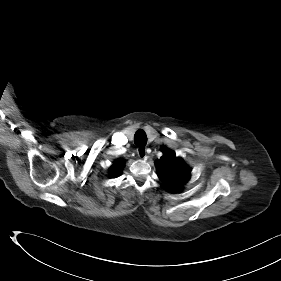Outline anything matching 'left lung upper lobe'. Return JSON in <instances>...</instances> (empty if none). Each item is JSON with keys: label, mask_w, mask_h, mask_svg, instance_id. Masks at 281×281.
<instances>
[{"label": "left lung upper lobe", "mask_w": 281, "mask_h": 281, "mask_svg": "<svg viewBox=\"0 0 281 281\" xmlns=\"http://www.w3.org/2000/svg\"><path fill=\"white\" fill-rule=\"evenodd\" d=\"M162 152L163 156L155 162L158 177L169 192L180 191L189 180L191 169L170 149L162 147Z\"/></svg>", "instance_id": "obj_1"}]
</instances>
